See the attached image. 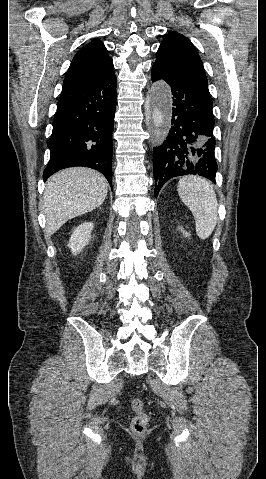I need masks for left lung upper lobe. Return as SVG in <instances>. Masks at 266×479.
I'll use <instances>...</instances> for the list:
<instances>
[{
  "label": "left lung upper lobe",
  "instance_id": "obj_1",
  "mask_svg": "<svg viewBox=\"0 0 266 479\" xmlns=\"http://www.w3.org/2000/svg\"><path fill=\"white\" fill-rule=\"evenodd\" d=\"M154 65L210 95L203 63L194 45L184 35L169 31L157 51Z\"/></svg>",
  "mask_w": 266,
  "mask_h": 479
}]
</instances>
